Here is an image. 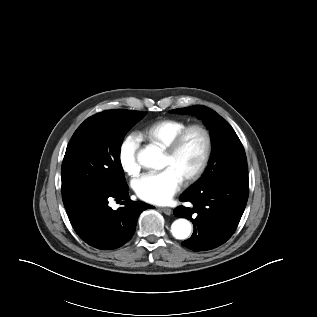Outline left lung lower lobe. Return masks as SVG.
<instances>
[{"label":"left lung lower lobe","instance_id":"1","mask_svg":"<svg viewBox=\"0 0 317 317\" xmlns=\"http://www.w3.org/2000/svg\"><path fill=\"white\" fill-rule=\"evenodd\" d=\"M248 177H232L187 189L180 197L193 208L182 205L174 209L177 217H185L194 225L191 238L182 244L193 251H205L225 243L236 230L248 200Z\"/></svg>","mask_w":317,"mask_h":317}]
</instances>
